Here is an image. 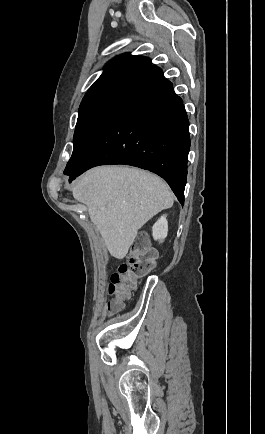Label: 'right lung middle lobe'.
I'll return each mask as SVG.
<instances>
[{"label": "right lung middle lobe", "mask_w": 265, "mask_h": 434, "mask_svg": "<svg viewBox=\"0 0 265 434\" xmlns=\"http://www.w3.org/2000/svg\"><path fill=\"white\" fill-rule=\"evenodd\" d=\"M133 75H117L95 82L85 94L79 108L74 133V148L66 169L84 157L117 99Z\"/></svg>", "instance_id": "right-lung-middle-lobe-1"}]
</instances>
